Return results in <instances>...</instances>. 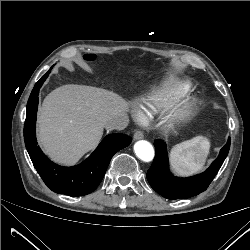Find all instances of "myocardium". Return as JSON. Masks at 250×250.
I'll list each match as a JSON object with an SVG mask.
<instances>
[{
	"instance_id": "myocardium-1",
	"label": "myocardium",
	"mask_w": 250,
	"mask_h": 250,
	"mask_svg": "<svg viewBox=\"0 0 250 250\" xmlns=\"http://www.w3.org/2000/svg\"><path fill=\"white\" fill-rule=\"evenodd\" d=\"M199 100L194 95H186L176 106L169 117V125L183 122L192 117L197 111Z\"/></svg>"
}]
</instances>
